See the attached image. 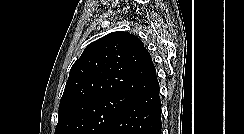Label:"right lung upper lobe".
Segmentation results:
<instances>
[{
  "label": "right lung upper lobe",
  "instance_id": "obj_1",
  "mask_svg": "<svg viewBox=\"0 0 244 134\" xmlns=\"http://www.w3.org/2000/svg\"><path fill=\"white\" fill-rule=\"evenodd\" d=\"M159 85L143 42L129 32H113L89 44L71 67L58 119L102 98H133Z\"/></svg>",
  "mask_w": 244,
  "mask_h": 134
}]
</instances>
